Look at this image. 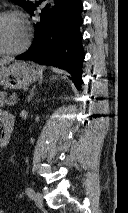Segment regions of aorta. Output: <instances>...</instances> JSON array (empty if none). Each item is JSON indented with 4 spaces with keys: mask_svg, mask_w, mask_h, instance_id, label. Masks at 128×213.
Wrapping results in <instances>:
<instances>
[{
    "mask_svg": "<svg viewBox=\"0 0 128 213\" xmlns=\"http://www.w3.org/2000/svg\"><path fill=\"white\" fill-rule=\"evenodd\" d=\"M51 6H54V0H50Z\"/></svg>",
    "mask_w": 128,
    "mask_h": 213,
    "instance_id": "762f6f07",
    "label": "aorta"
}]
</instances>
